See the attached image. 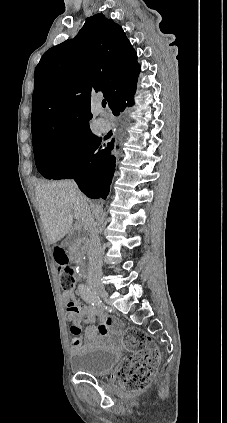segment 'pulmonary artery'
Instances as JSON below:
<instances>
[{"mask_svg": "<svg viewBox=\"0 0 227 423\" xmlns=\"http://www.w3.org/2000/svg\"><path fill=\"white\" fill-rule=\"evenodd\" d=\"M101 112H102V108H101V107H98V108H96V109L93 111L94 115H98V114H100ZM96 126H97L100 130L104 131V130H107V129L109 128V126H110V122H109L107 119H105V118H98V119L96 120Z\"/></svg>", "mask_w": 227, "mask_h": 423, "instance_id": "e3ab8cb5", "label": "pulmonary artery"}]
</instances>
